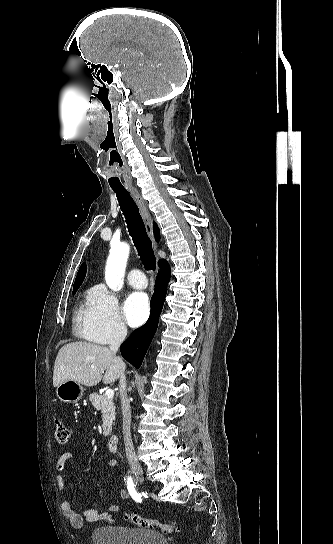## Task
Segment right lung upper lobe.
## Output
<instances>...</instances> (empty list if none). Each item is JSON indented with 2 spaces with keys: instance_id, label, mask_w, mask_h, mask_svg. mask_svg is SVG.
Returning <instances> with one entry per match:
<instances>
[{
  "instance_id": "obj_1",
  "label": "right lung upper lobe",
  "mask_w": 333,
  "mask_h": 544,
  "mask_svg": "<svg viewBox=\"0 0 333 544\" xmlns=\"http://www.w3.org/2000/svg\"><path fill=\"white\" fill-rule=\"evenodd\" d=\"M153 229H154L155 238H156L157 240H159V239H160V231H159V228H158V226L156 225V223H154ZM166 263H167L166 261L161 260V261H160V266H162V265H164V264H166ZM86 270H87L86 264L83 263V264L81 265V267L79 268V271H78V273H77V277H76V280H75V282H74L73 290H77V289L80 287V285L82 284V282H83V280H84V278H85V275H86Z\"/></svg>"
}]
</instances>
